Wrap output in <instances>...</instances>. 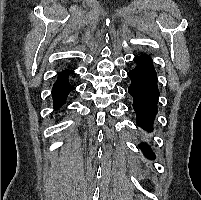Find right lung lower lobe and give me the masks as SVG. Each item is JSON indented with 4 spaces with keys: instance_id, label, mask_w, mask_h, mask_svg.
I'll list each match as a JSON object with an SVG mask.
<instances>
[{
    "instance_id": "1",
    "label": "right lung lower lobe",
    "mask_w": 201,
    "mask_h": 200,
    "mask_svg": "<svg viewBox=\"0 0 201 200\" xmlns=\"http://www.w3.org/2000/svg\"><path fill=\"white\" fill-rule=\"evenodd\" d=\"M70 73L71 72L69 70L63 71L53 85L52 97L54 100L55 109L61 107L65 103L69 92L74 88L69 84L68 81V76Z\"/></svg>"
}]
</instances>
